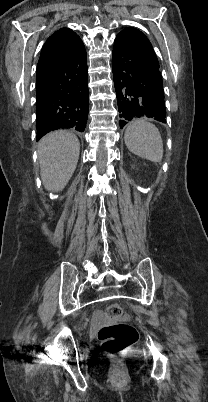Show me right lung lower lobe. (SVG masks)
<instances>
[{
    "mask_svg": "<svg viewBox=\"0 0 208 402\" xmlns=\"http://www.w3.org/2000/svg\"><path fill=\"white\" fill-rule=\"evenodd\" d=\"M37 141L50 131L83 132L88 118V72L84 44L77 34L42 48L37 65Z\"/></svg>",
    "mask_w": 208,
    "mask_h": 402,
    "instance_id": "1",
    "label": "right lung lower lobe"
}]
</instances>
